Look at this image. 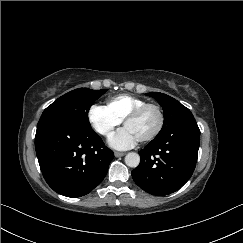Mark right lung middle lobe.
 Wrapping results in <instances>:
<instances>
[{"mask_svg":"<svg viewBox=\"0 0 243 243\" xmlns=\"http://www.w3.org/2000/svg\"><path fill=\"white\" fill-rule=\"evenodd\" d=\"M107 89H75L58 98L41 115L37 129L48 124H65L85 129H92L88 119L91 105Z\"/></svg>","mask_w":243,"mask_h":243,"instance_id":"right-lung-middle-lobe-1","label":"right lung middle lobe"}]
</instances>
